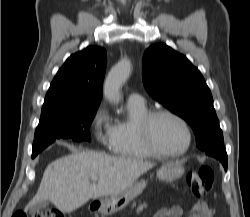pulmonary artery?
Masks as SVG:
<instances>
[{
    "label": "pulmonary artery",
    "instance_id": "e3ab8cb5",
    "mask_svg": "<svg viewBox=\"0 0 250 217\" xmlns=\"http://www.w3.org/2000/svg\"><path fill=\"white\" fill-rule=\"evenodd\" d=\"M127 101L128 103H131V104H143L144 103L143 97L136 92L130 93Z\"/></svg>",
    "mask_w": 250,
    "mask_h": 217
}]
</instances>
